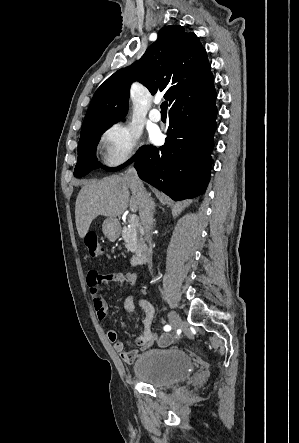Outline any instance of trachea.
Returning <instances> with one entry per match:
<instances>
[{
	"mask_svg": "<svg viewBox=\"0 0 299 443\" xmlns=\"http://www.w3.org/2000/svg\"><path fill=\"white\" fill-rule=\"evenodd\" d=\"M167 101H164V102H162V104H161V111L162 112H166L167 111Z\"/></svg>",
	"mask_w": 299,
	"mask_h": 443,
	"instance_id": "obj_1",
	"label": "trachea"
}]
</instances>
